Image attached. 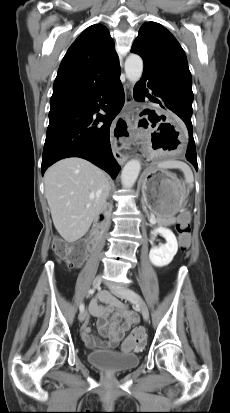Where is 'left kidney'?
I'll list each match as a JSON object with an SVG mask.
<instances>
[{"instance_id":"left-kidney-1","label":"left kidney","mask_w":230,"mask_h":413,"mask_svg":"<svg viewBox=\"0 0 230 413\" xmlns=\"http://www.w3.org/2000/svg\"><path fill=\"white\" fill-rule=\"evenodd\" d=\"M161 234L166 239V244L160 247H153L149 253L151 263L156 267H164L168 265L178 251V243L174 233L164 227H158L152 232V239L155 234Z\"/></svg>"}]
</instances>
